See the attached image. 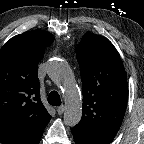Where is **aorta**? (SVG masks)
<instances>
[{"label":"aorta","instance_id":"1","mask_svg":"<svg viewBox=\"0 0 144 144\" xmlns=\"http://www.w3.org/2000/svg\"><path fill=\"white\" fill-rule=\"evenodd\" d=\"M47 73L52 81L62 87L66 103L64 123L68 126L77 125L82 117L81 98L70 67L66 62L54 59L49 63Z\"/></svg>","mask_w":144,"mask_h":144}]
</instances>
